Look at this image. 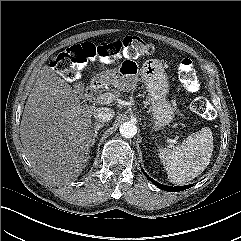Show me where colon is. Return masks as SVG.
<instances>
[{"mask_svg":"<svg viewBox=\"0 0 241 241\" xmlns=\"http://www.w3.org/2000/svg\"><path fill=\"white\" fill-rule=\"evenodd\" d=\"M151 43L137 36L125 37L122 41H116L106 45L95 46L85 42L75 45L58 54L52 61L51 67L67 81H75L80 70L89 61H98L110 64L120 57L136 59L153 52ZM179 77L188 92H197L199 83L197 81L193 61L184 58L179 64ZM192 110L200 115L208 114V102L202 97L195 98L191 104Z\"/></svg>","mask_w":241,"mask_h":241,"instance_id":"1","label":"colon"}]
</instances>
